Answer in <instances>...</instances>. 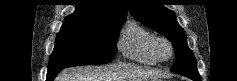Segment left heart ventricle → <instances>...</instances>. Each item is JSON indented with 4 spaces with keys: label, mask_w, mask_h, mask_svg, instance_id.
Listing matches in <instances>:
<instances>
[{
    "label": "left heart ventricle",
    "mask_w": 237,
    "mask_h": 81,
    "mask_svg": "<svg viewBox=\"0 0 237 81\" xmlns=\"http://www.w3.org/2000/svg\"><path fill=\"white\" fill-rule=\"evenodd\" d=\"M169 48L167 47V45L162 44L160 47V54L163 58H167L169 56Z\"/></svg>",
    "instance_id": "b2bd125f"
}]
</instances>
